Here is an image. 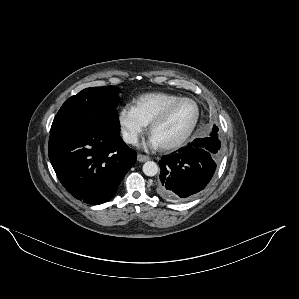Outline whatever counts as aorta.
<instances>
[{
    "label": "aorta",
    "instance_id": "1",
    "mask_svg": "<svg viewBox=\"0 0 299 299\" xmlns=\"http://www.w3.org/2000/svg\"><path fill=\"white\" fill-rule=\"evenodd\" d=\"M143 172L147 176H155L158 173V165L154 161H147L144 163Z\"/></svg>",
    "mask_w": 299,
    "mask_h": 299
}]
</instances>
